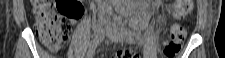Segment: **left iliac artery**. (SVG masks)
<instances>
[{
	"instance_id": "1",
	"label": "left iliac artery",
	"mask_w": 225,
	"mask_h": 58,
	"mask_svg": "<svg viewBox=\"0 0 225 58\" xmlns=\"http://www.w3.org/2000/svg\"><path fill=\"white\" fill-rule=\"evenodd\" d=\"M121 32L127 37L130 43H134V39L131 37L130 32H128L124 26L121 27Z\"/></svg>"
}]
</instances>
